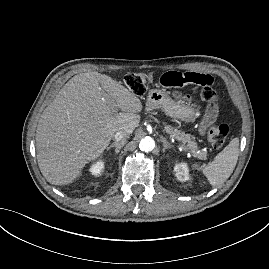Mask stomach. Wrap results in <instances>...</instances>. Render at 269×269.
<instances>
[{
  "instance_id": "obj_1",
  "label": "stomach",
  "mask_w": 269,
  "mask_h": 269,
  "mask_svg": "<svg viewBox=\"0 0 269 269\" xmlns=\"http://www.w3.org/2000/svg\"><path fill=\"white\" fill-rule=\"evenodd\" d=\"M162 110L167 116L192 122L196 118L193 106L173 100L163 89H151L148 93L146 110Z\"/></svg>"
}]
</instances>
